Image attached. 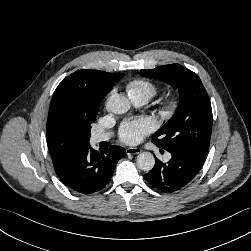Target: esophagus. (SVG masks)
<instances>
[{"label": "esophagus", "instance_id": "1", "mask_svg": "<svg viewBox=\"0 0 251 251\" xmlns=\"http://www.w3.org/2000/svg\"><path fill=\"white\" fill-rule=\"evenodd\" d=\"M141 152H142V150L138 147H129L126 149V153L128 155H135V154H139Z\"/></svg>", "mask_w": 251, "mask_h": 251}]
</instances>
